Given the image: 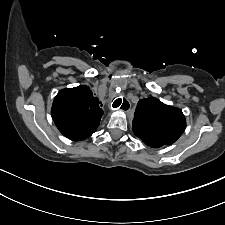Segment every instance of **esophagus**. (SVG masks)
Instances as JSON below:
<instances>
[{
    "label": "esophagus",
    "instance_id": "34e87169",
    "mask_svg": "<svg viewBox=\"0 0 225 225\" xmlns=\"http://www.w3.org/2000/svg\"><path fill=\"white\" fill-rule=\"evenodd\" d=\"M117 99H118V98H117ZM117 99L113 100V102L111 103V109L116 110V109L121 108L122 111L128 112V111L130 110V102L126 100V101L128 102V104H129V107H128V108H122V107H121L122 104H123V101H124L125 99L122 100V103L120 104V106L114 107L115 101H116Z\"/></svg>",
    "mask_w": 225,
    "mask_h": 225
}]
</instances>
